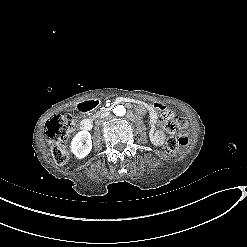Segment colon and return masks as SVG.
Here are the masks:
<instances>
[{
  "instance_id": "1",
  "label": "colon",
  "mask_w": 247,
  "mask_h": 247,
  "mask_svg": "<svg viewBox=\"0 0 247 247\" xmlns=\"http://www.w3.org/2000/svg\"><path fill=\"white\" fill-rule=\"evenodd\" d=\"M158 112L165 113L168 110L164 103L156 104ZM76 127V118L73 115H54L45 124V136L51 145L54 161L58 165H64L68 161L66 141ZM188 137L186 135L171 136L166 140V149L174 154L178 149L186 147Z\"/></svg>"
}]
</instances>
